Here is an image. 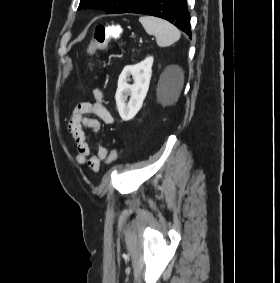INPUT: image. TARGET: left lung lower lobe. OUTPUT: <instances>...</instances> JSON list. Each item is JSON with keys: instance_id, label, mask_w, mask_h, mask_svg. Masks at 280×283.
Returning <instances> with one entry per match:
<instances>
[{"instance_id": "left-lung-lower-lobe-1", "label": "left lung lower lobe", "mask_w": 280, "mask_h": 283, "mask_svg": "<svg viewBox=\"0 0 280 283\" xmlns=\"http://www.w3.org/2000/svg\"><path fill=\"white\" fill-rule=\"evenodd\" d=\"M127 12L164 18L191 38L190 15L186 0H141Z\"/></svg>"}]
</instances>
